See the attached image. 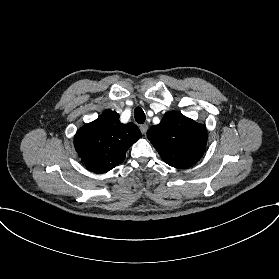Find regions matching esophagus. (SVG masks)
<instances>
[{
    "label": "esophagus",
    "instance_id": "1",
    "mask_svg": "<svg viewBox=\"0 0 279 279\" xmlns=\"http://www.w3.org/2000/svg\"><path fill=\"white\" fill-rule=\"evenodd\" d=\"M140 131L142 132L143 135L146 134L147 130H148V125L147 124H142L140 125Z\"/></svg>",
    "mask_w": 279,
    "mask_h": 279
}]
</instances>
